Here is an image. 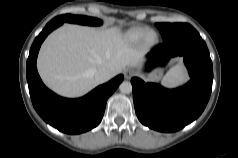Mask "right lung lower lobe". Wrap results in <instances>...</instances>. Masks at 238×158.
Here are the masks:
<instances>
[{
	"mask_svg": "<svg viewBox=\"0 0 238 158\" xmlns=\"http://www.w3.org/2000/svg\"><path fill=\"white\" fill-rule=\"evenodd\" d=\"M62 24L60 20H51L34 40L27 60V82L33 106L42 119L61 132L79 134L101 122L107 99L123 81V75L79 99L62 98L47 89L38 75L36 59L44 39Z\"/></svg>",
	"mask_w": 238,
	"mask_h": 158,
	"instance_id": "obj_1",
	"label": "right lung lower lobe"
}]
</instances>
